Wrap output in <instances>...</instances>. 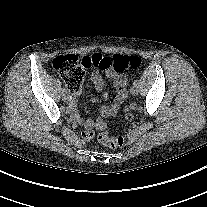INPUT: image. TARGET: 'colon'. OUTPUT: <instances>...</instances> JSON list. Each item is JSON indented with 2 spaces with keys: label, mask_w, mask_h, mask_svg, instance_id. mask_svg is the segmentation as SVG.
I'll return each instance as SVG.
<instances>
[{
  "label": "colon",
  "mask_w": 207,
  "mask_h": 207,
  "mask_svg": "<svg viewBox=\"0 0 207 207\" xmlns=\"http://www.w3.org/2000/svg\"><path fill=\"white\" fill-rule=\"evenodd\" d=\"M141 66V59L135 55L117 54L113 56H103L94 54L79 58L75 55H60L52 61V67L61 76L66 87L70 92H77L83 82L85 70L91 67L99 68L103 71L114 70L123 72L128 69H138ZM126 118L130 120L132 115L130 108L126 109ZM96 128L100 131L97 136L99 142L105 146L116 149L123 146L125 142L124 135L110 137L108 127L103 119L96 120ZM95 137L94 132L85 131L83 138L91 141Z\"/></svg>",
  "instance_id": "1"
}]
</instances>
